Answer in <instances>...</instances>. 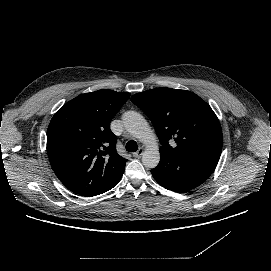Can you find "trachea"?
I'll list each match as a JSON object with an SVG mask.
<instances>
[{
    "label": "trachea",
    "mask_w": 271,
    "mask_h": 271,
    "mask_svg": "<svg viewBox=\"0 0 271 271\" xmlns=\"http://www.w3.org/2000/svg\"><path fill=\"white\" fill-rule=\"evenodd\" d=\"M137 143L134 140H130L126 144V150L129 152H136L137 151Z\"/></svg>",
    "instance_id": "trachea-1"
}]
</instances>
